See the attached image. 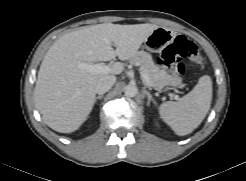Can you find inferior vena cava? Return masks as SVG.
<instances>
[{"label":"inferior vena cava","mask_w":246,"mask_h":181,"mask_svg":"<svg viewBox=\"0 0 246 181\" xmlns=\"http://www.w3.org/2000/svg\"><path fill=\"white\" fill-rule=\"evenodd\" d=\"M116 77L114 75H109L102 77L98 80V82L95 85V93L102 95L109 91L111 87L115 84Z\"/></svg>","instance_id":"1"}]
</instances>
